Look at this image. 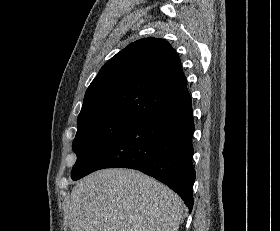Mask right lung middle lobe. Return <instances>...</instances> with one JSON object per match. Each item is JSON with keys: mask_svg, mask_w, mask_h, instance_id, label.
Returning a JSON list of instances; mask_svg holds the SVG:
<instances>
[{"mask_svg": "<svg viewBox=\"0 0 280 231\" xmlns=\"http://www.w3.org/2000/svg\"><path fill=\"white\" fill-rule=\"evenodd\" d=\"M138 122L123 117L77 120L78 130L72 144L77 161L71 178L79 175L105 147Z\"/></svg>", "mask_w": 280, "mask_h": 231, "instance_id": "right-lung-middle-lobe-1", "label": "right lung middle lobe"}]
</instances>
